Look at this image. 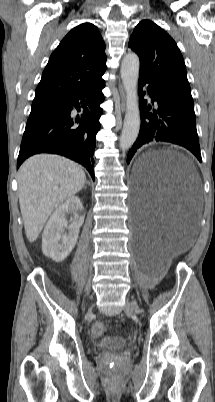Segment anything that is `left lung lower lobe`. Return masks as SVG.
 <instances>
[{"label":"left lung lower lobe","instance_id":"0a47b994","mask_svg":"<svg viewBox=\"0 0 215 402\" xmlns=\"http://www.w3.org/2000/svg\"><path fill=\"white\" fill-rule=\"evenodd\" d=\"M147 84V93L153 105L141 97L146 94L143 87ZM141 128L137 140L130 149L127 163H130L136 150L143 144L164 141L178 144L190 150L201 162L200 146L196 130L194 104L188 102L151 77L139 74L138 83Z\"/></svg>","mask_w":215,"mask_h":402}]
</instances>
